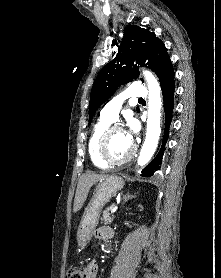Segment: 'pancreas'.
<instances>
[{"mask_svg": "<svg viewBox=\"0 0 221 278\" xmlns=\"http://www.w3.org/2000/svg\"><path fill=\"white\" fill-rule=\"evenodd\" d=\"M111 210V207L106 208L103 211L101 222L104 224H110L113 222V217L110 216L109 211Z\"/></svg>", "mask_w": 221, "mask_h": 278, "instance_id": "obj_1", "label": "pancreas"}]
</instances>
